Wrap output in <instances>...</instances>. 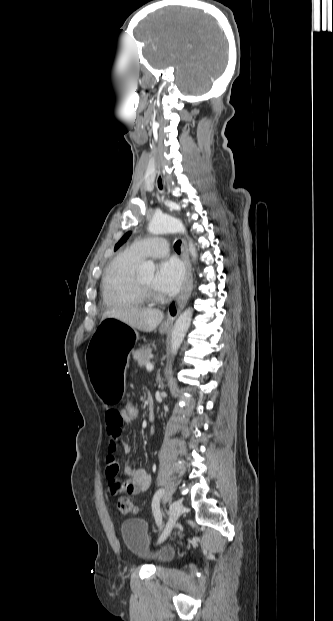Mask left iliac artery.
I'll use <instances>...</instances> for the list:
<instances>
[{
    "mask_svg": "<svg viewBox=\"0 0 333 621\" xmlns=\"http://www.w3.org/2000/svg\"><path fill=\"white\" fill-rule=\"evenodd\" d=\"M164 493H165V489L163 488L157 490L152 500V511H153V515H154L157 526H161L162 524V514L160 511V500H161V497L164 495Z\"/></svg>",
    "mask_w": 333,
    "mask_h": 621,
    "instance_id": "obj_1",
    "label": "left iliac artery"
}]
</instances>
